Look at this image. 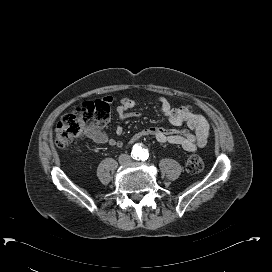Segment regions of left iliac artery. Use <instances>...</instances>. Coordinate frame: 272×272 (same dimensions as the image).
Segmentation results:
<instances>
[{
    "label": "left iliac artery",
    "instance_id": "obj_1",
    "mask_svg": "<svg viewBox=\"0 0 272 272\" xmlns=\"http://www.w3.org/2000/svg\"><path fill=\"white\" fill-rule=\"evenodd\" d=\"M148 159V153L146 152V154L144 153L141 157V160H147Z\"/></svg>",
    "mask_w": 272,
    "mask_h": 272
}]
</instances>
